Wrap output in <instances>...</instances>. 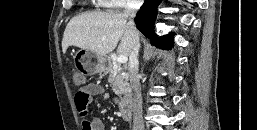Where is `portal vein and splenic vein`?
Here are the masks:
<instances>
[{
  "label": "portal vein and splenic vein",
  "mask_w": 257,
  "mask_h": 130,
  "mask_svg": "<svg viewBox=\"0 0 257 130\" xmlns=\"http://www.w3.org/2000/svg\"><path fill=\"white\" fill-rule=\"evenodd\" d=\"M127 60H128V58H127L126 56H124V55H119V56L117 57V62H118L119 64L126 63Z\"/></svg>",
  "instance_id": "obj_1"
}]
</instances>
